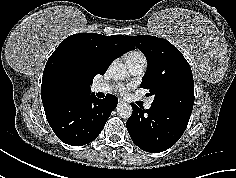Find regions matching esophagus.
Segmentation results:
<instances>
[{
  "label": "esophagus",
  "instance_id": "34e87169",
  "mask_svg": "<svg viewBox=\"0 0 236 178\" xmlns=\"http://www.w3.org/2000/svg\"><path fill=\"white\" fill-rule=\"evenodd\" d=\"M124 101L122 99H118V105H122Z\"/></svg>",
  "mask_w": 236,
  "mask_h": 178
}]
</instances>
